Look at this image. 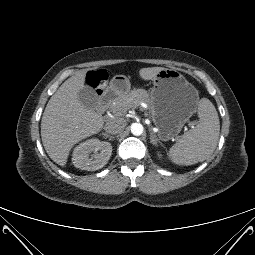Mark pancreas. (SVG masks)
Wrapping results in <instances>:
<instances>
[{
    "label": "pancreas",
    "instance_id": "obj_1",
    "mask_svg": "<svg viewBox=\"0 0 255 255\" xmlns=\"http://www.w3.org/2000/svg\"><path fill=\"white\" fill-rule=\"evenodd\" d=\"M139 101L145 102L147 104L144 110L150 109L149 95L144 89L131 90L127 94L118 98L113 104L110 105V108L115 113V115L122 116L131 108L133 104H136ZM145 114L147 115V113Z\"/></svg>",
    "mask_w": 255,
    "mask_h": 255
}]
</instances>
